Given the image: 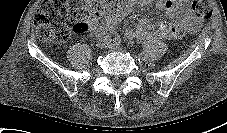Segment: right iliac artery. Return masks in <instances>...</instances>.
I'll return each instance as SVG.
<instances>
[{
	"label": "right iliac artery",
	"instance_id": "1",
	"mask_svg": "<svg viewBox=\"0 0 227 133\" xmlns=\"http://www.w3.org/2000/svg\"><path fill=\"white\" fill-rule=\"evenodd\" d=\"M101 35H105V32L101 33ZM104 39L107 40V41H109V42H111V39H110V36L109 35H106L104 37Z\"/></svg>",
	"mask_w": 227,
	"mask_h": 133
}]
</instances>
